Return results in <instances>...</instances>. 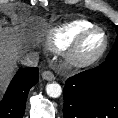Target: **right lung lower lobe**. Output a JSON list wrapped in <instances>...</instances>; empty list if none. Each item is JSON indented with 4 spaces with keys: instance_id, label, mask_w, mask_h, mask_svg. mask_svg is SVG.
<instances>
[{
    "instance_id": "obj_1",
    "label": "right lung lower lobe",
    "mask_w": 118,
    "mask_h": 118,
    "mask_svg": "<svg viewBox=\"0 0 118 118\" xmlns=\"http://www.w3.org/2000/svg\"><path fill=\"white\" fill-rule=\"evenodd\" d=\"M38 78V68H25L16 73L0 102V118H22L28 92Z\"/></svg>"
}]
</instances>
